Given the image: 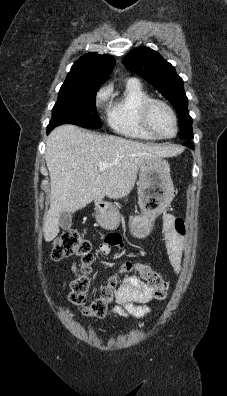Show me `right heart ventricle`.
<instances>
[{"instance_id": "obj_1", "label": "right heart ventricle", "mask_w": 227, "mask_h": 396, "mask_svg": "<svg viewBox=\"0 0 227 396\" xmlns=\"http://www.w3.org/2000/svg\"><path fill=\"white\" fill-rule=\"evenodd\" d=\"M149 98V93L138 80L129 79L122 92L109 104L107 120L110 128L128 138L157 140V137L145 129L141 121V107Z\"/></svg>"}]
</instances>
